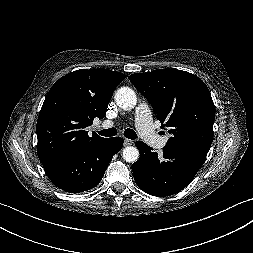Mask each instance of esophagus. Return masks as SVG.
Wrapping results in <instances>:
<instances>
[{"instance_id": "obj_1", "label": "esophagus", "mask_w": 253, "mask_h": 253, "mask_svg": "<svg viewBox=\"0 0 253 253\" xmlns=\"http://www.w3.org/2000/svg\"><path fill=\"white\" fill-rule=\"evenodd\" d=\"M133 143H134L133 140L127 138L124 139V146H130L133 145Z\"/></svg>"}]
</instances>
